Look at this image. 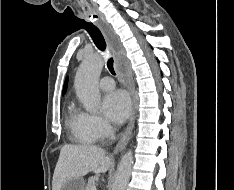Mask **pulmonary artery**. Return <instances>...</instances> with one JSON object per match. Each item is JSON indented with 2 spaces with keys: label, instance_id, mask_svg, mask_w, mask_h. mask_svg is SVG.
<instances>
[{
  "label": "pulmonary artery",
  "instance_id": "obj_1",
  "mask_svg": "<svg viewBox=\"0 0 234 190\" xmlns=\"http://www.w3.org/2000/svg\"><path fill=\"white\" fill-rule=\"evenodd\" d=\"M99 86L104 91H110L115 87V84L110 76H105L99 81Z\"/></svg>",
  "mask_w": 234,
  "mask_h": 190
}]
</instances>
